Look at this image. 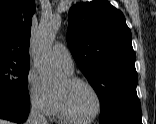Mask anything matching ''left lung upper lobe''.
Here are the masks:
<instances>
[{
    "label": "left lung upper lobe",
    "instance_id": "obj_1",
    "mask_svg": "<svg viewBox=\"0 0 156 124\" xmlns=\"http://www.w3.org/2000/svg\"><path fill=\"white\" fill-rule=\"evenodd\" d=\"M123 13L107 0L76 4L69 11V49L100 100V121L141 120L136 55Z\"/></svg>",
    "mask_w": 156,
    "mask_h": 124
}]
</instances>
